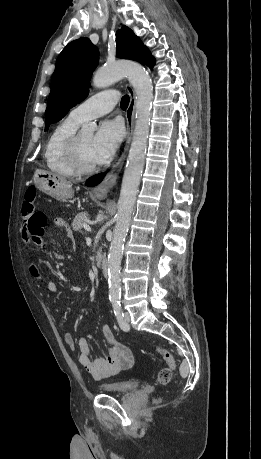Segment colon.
Here are the masks:
<instances>
[{
	"label": "colon",
	"mask_w": 261,
	"mask_h": 459,
	"mask_svg": "<svg viewBox=\"0 0 261 459\" xmlns=\"http://www.w3.org/2000/svg\"><path fill=\"white\" fill-rule=\"evenodd\" d=\"M36 198L35 188L30 187L26 194L22 207V214L24 216L23 236L25 238H34L35 234H43L44 229L48 223V218L43 212L34 210V203ZM158 354L169 365L168 368H163L158 373V381L162 385H167L172 379V368L175 367V359L173 355L164 349H158Z\"/></svg>",
	"instance_id": "obj_1"
}]
</instances>
